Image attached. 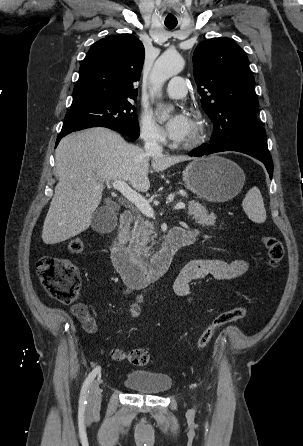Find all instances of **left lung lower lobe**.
Returning a JSON list of instances; mask_svg holds the SVG:
<instances>
[{"instance_id":"left-lung-lower-lobe-1","label":"left lung lower lobe","mask_w":303,"mask_h":446,"mask_svg":"<svg viewBox=\"0 0 303 446\" xmlns=\"http://www.w3.org/2000/svg\"><path fill=\"white\" fill-rule=\"evenodd\" d=\"M223 151L242 152V153L250 155L254 158H257L258 160H260L261 162H263L265 164V167L269 173V176H270V178H272L273 162H272V158H271V155L269 154V152L257 151V150H253L250 148L240 147V146H236V145H227V146H222V147H215V146L200 147L198 149L193 150L189 155L200 157L203 155H208V154H212V153H216V152H223Z\"/></svg>"}]
</instances>
